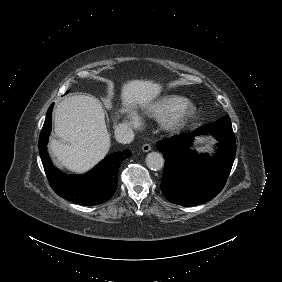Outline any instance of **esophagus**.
Masks as SVG:
<instances>
[{
  "label": "esophagus",
  "instance_id": "esophagus-1",
  "mask_svg": "<svg viewBox=\"0 0 282 282\" xmlns=\"http://www.w3.org/2000/svg\"><path fill=\"white\" fill-rule=\"evenodd\" d=\"M142 150H143V152H148V151H150V150H151V145H150V144H144V145L142 146Z\"/></svg>",
  "mask_w": 282,
  "mask_h": 282
}]
</instances>
